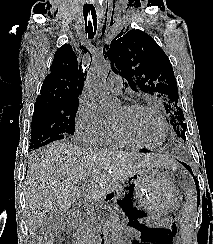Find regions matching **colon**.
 Instances as JSON below:
<instances>
[{
    "label": "colon",
    "instance_id": "colon-1",
    "mask_svg": "<svg viewBox=\"0 0 213 244\" xmlns=\"http://www.w3.org/2000/svg\"><path fill=\"white\" fill-rule=\"evenodd\" d=\"M38 244H53L52 234H44L39 238Z\"/></svg>",
    "mask_w": 213,
    "mask_h": 244
}]
</instances>
